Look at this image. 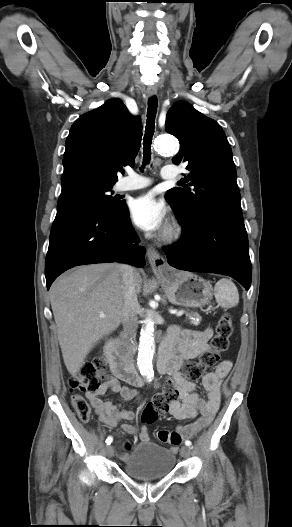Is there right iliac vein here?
<instances>
[{"label": "right iliac vein", "instance_id": "1", "mask_svg": "<svg viewBox=\"0 0 292 527\" xmlns=\"http://www.w3.org/2000/svg\"><path fill=\"white\" fill-rule=\"evenodd\" d=\"M105 451H106V455H107L108 457H112L113 454H114V449H113L112 446H107L106 449H105Z\"/></svg>", "mask_w": 292, "mask_h": 527}]
</instances>
